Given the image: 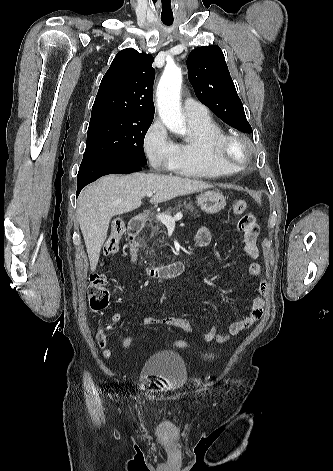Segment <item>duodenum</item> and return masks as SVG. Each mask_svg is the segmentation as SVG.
Returning <instances> with one entry per match:
<instances>
[{
  "label": "duodenum",
  "mask_w": 333,
  "mask_h": 471,
  "mask_svg": "<svg viewBox=\"0 0 333 471\" xmlns=\"http://www.w3.org/2000/svg\"><path fill=\"white\" fill-rule=\"evenodd\" d=\"M146 223V216L141 214L132 218L128 224L127 241L128 251L133 263L138 262V243L137 237ZM186 270L184 261H176L170 264L152 267L147 270V274L151 278L167 279L178 276Z\"/></svg>",
  "instance_id": "1"
}]
</instances>
